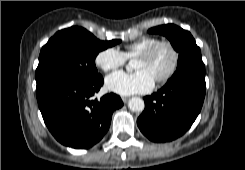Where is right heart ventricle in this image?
I'll list each match as a JSON object with an SVG mask.
<instances>
[{"label": "right heart ventricle", "mask_w": 245, "mask_h": 170, "mask_svg": "<svg viewBox=\"0 0 245 170\" xmlns=\"http://www.w3.org/2000/svg\"><path fill=\"white\" fill-rule=\"evenodd\" d=\"M158 40L159 39L155 37H142L136 41L127 44L123 53L127 58L137 57L139 53L147 49Z\"/></svg>", "instance_id": "e07e8e85"}]
</instances>
